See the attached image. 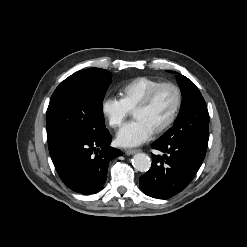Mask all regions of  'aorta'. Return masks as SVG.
<instances>
[{
  "label": "aorta",
  "mask_w": 247,
  "mask_h": 247,
  "mask_svg": "<svg viewBox=\"0 0 247 247\" xmlns=\"http://www.w3.org/2000/svg\"><path fill=\"white\" fill-rule=\"evenodd\" d=\"M132 164L140 172H147L151 167V159L145 153H137L133 156Z\"/></svg>",
  "instance_id": "1"
}]
</instances>
